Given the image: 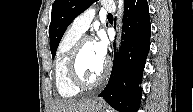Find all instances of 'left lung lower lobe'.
Here are the masks:
<instances>
[{
	"instance_id": "0a47b994",
	"label": "left lung lower lobe",
	"mask_w": 193,
	"mask_h": 112,
	"mask_svg": "<svg viewBox=\"0 0 193 112\" xmlns=\"http://www.w3.org/2000/svg\"><path fill=\"white\" fill-rule=\"evenodd\" d=\"M123 41L115 56L111 76L99 94L120 112H137L142 74L150 49L151 25L147 0H127L123 16Z\"/></svg>"
}]
</instances>
